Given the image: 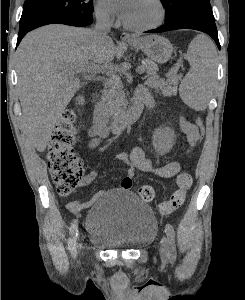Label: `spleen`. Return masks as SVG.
<instances>
[{
  "instance_id": "spleen-1",
  "label": "spleen",
  "mask_w": 245,
  "mask_h": 300,
  "mask_svg": "<svg viewBox=\"0 0 245 300\" xmlns=\"http://www.w3.org/2000/svg\"><path fill=\"white\" fill-rule=\"evenodd\" d=\"M187 59L191 68L181 82L180 97L192 109L203 111L212 97L217 67L216 47L206 36H197L188 47Z\"/></svg>"
}]
</instances>
